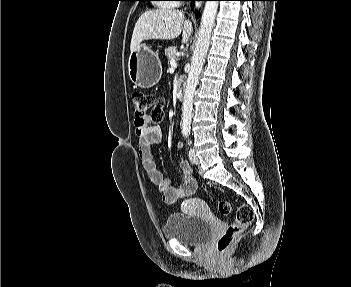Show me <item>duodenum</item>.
Here are the masks:
<instances>
[{
  "label": "duodenum",
  "instance_id": "obj_1",
  "mask_svg": "<svg viewBox=\"0 0 351 287\" xmlns=\"http://www.w3.org/2000/svg\"><path fill=\"white\" fill-rule=\"evenodd\" d=\"M183 88L182 87H179L178 90H177V98L178 99H182L183 98Z\"/></svg>",
  "mask_w": 351,
  "mask_h": 287
}]
</instances>
